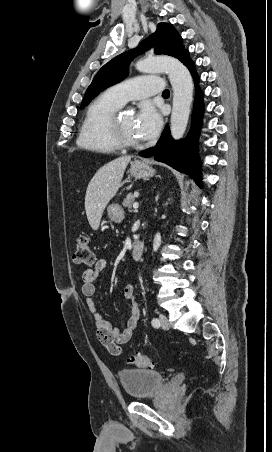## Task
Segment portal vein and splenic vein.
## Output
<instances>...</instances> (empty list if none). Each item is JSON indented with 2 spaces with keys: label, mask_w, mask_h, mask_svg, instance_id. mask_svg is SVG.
<instances>
[{
  "label": "portal vein and splenic vein",
  "mask_w": 272,
  "mask_h": 452,
  "mask_svg": "<svg viewBox=\"0 0 272 452\" xmlns=\"http://www.w3.org/2000/svg\"><path fill=\"white\" fill-rule=\"evenodd\" d=\"M138 207H139L138 202H135V203L133 204V208L136 210Z\"/></svg>",
  "instance_id": "obj_1"
}]
</instances>
